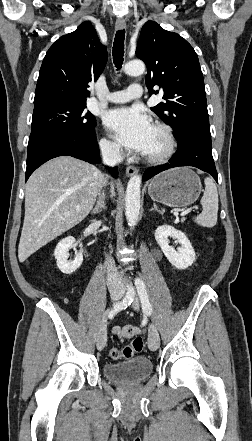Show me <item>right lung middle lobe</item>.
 <instances>
[{
  "instance_id": "1",
  "label": "right lung middle lobe",
  "mask_w": 252,
  "mask_h": 441,
  "mask_svg": "<svg viewBox=\"0 0 252 441\" xmlns=\"http://www.w3.org/2000/svg\"><path fill=\"white\" fill-rule=\"evenodd\" d=\"M86 102L48 101L34 105L31 135L46 132L86 134L95 128V117Z\"/></svg>"
}]
</instances>
